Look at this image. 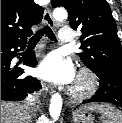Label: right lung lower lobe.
Segmentation results:
<instances>
[{"label": "right lung lower lobe", "mask_w": 122, "mask_h": 123, "mask_svg": "<svg viewBox=\"0 0 122 123\" xmlns=\"http://www.w3.org/2000/svg\"><path fill=\"white\" fill-rule=\"evenodd\" d=\"M26 43H1V100L20 101L41 88V84L36 78L24 75L21 68L11 64L12 59L18 55L19 49H25ZM23 64L36 66L35 54L28 55Z\"/></svg>", "instance_id": "right-lung-lower-lobe-1"}]
</instances>
